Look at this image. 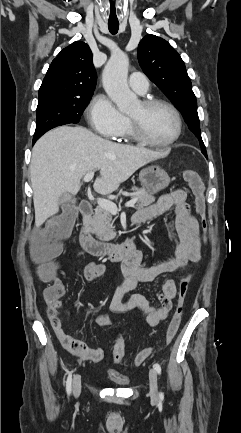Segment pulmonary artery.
Instances as JSON below:
<instances>
[{
	"mask_svg": "<svg viewBox=\"0 0 241 433\" xmlns=\"http://www.w3.org/2000/svg\"><path fill=\"white\" fill-rule=\"evenodd\" d=\"M130 87L138 94L144 95L149 90V82L146 76L140 72H134L129 78Z\"/></svg>",
	"mask_w": 241,
	"mask_h": 433,
	"instance_id": "1",
	"label": "pulmonary artery"
}]
</instances>
